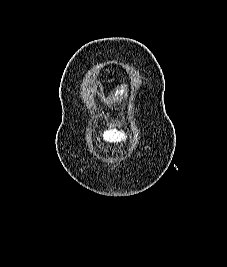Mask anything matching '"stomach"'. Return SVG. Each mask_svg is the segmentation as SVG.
Listing matches in <instances>:
<instances>
[{"instance_id":"obj_1","label":"stomach","mask_w":227,"mask_h":267,"mask_svg":"<svg viewBox=\"0 0 227 267\" xmlns=\"http://www.w3.org/2000/svg\"><path fill=\"white\" fill-rule=\"evenodd\" d=\"M100 101H128V93L122 92L119 96L118 92H110L109 96H100Z\"/></svg>"}]
</instances>
